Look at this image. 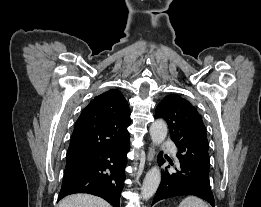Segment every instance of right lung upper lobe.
Returning a JSON list of instances; mask_svg holds the SVG:
<instances>
[{
  "instance_id": "cb5924a9",
  "label": "right lung upper lobe",
  "mask_w": 261,
  "mask_h": 207,
  "mask_svg": "<svg viewBox=\"0 0 261 207\" xmlns=\"http://www.w3.org/2000/svg\"><path fill=\"white\" fill-rule=\"evenodd\" d=\"M130 123L129 106L119 90L95 97L75 123L66 163L126 144Z\"/></svg>"
}]
</instances>
